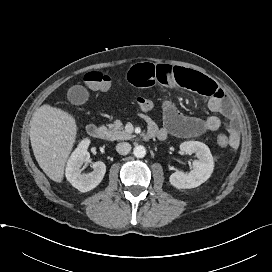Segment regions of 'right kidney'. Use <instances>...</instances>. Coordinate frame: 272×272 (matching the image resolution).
Wrapping results in <instances>:
<instances>
[{
	"mask_svg": "<svg viewBox=\"0 0 272 272\" xmlns=\"http://www.w3.org/2000/svg\"><path fill=\"white\" fill-rule=\"evenodd\" d=\"M89 145V139L82 140L71 154L66 167L67 180L80 192H88L94 189L102 181L106 172L105 164L97 161L91 164L93 168L91 173H82V165L90 162V153L87 151Z\"/></svg>",
	"mask_w": 272,
	"mask_h": 272,
	"instance_id": "right-kidney-1",
	"label": "right kidney"
}]
</instances>
